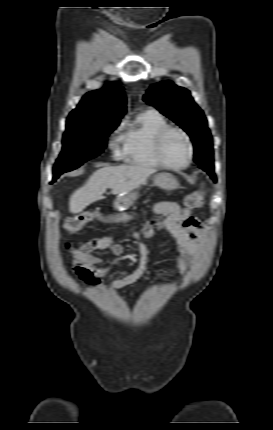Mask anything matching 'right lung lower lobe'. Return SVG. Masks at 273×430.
I'll list each match as a JSON object with an SVG mask.
<instances>
[{"mask_svg": "<svg viewBox=\"0 0 273 430\" xmlns=\"http://www.w3.org/2000/svg\"><path fill=\"white\" fill-rule=\"evenodd\" d=\"M57 178L56 177H53V181H55Z\"/></svg>", "mask_w": 273, "mask_h": 430, "instance_id": "98d812e1", "label": "right lung lower lobe"}]
</instances>
